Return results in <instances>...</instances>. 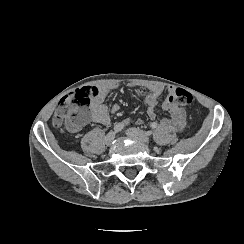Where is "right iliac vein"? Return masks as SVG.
I'll list each match as a JSON object with an SVG mask.
<instances>
[{"label": "right iliac vein", "instance_id": "obj_1", "mask_svg": "<svg viewBox=\"0 0 244 244\" xmlns=\"http://www.w3.org/2000/svg\"><path fill=\"white\" fill-rule=\"evenodd\" d=\"M115 138V133L110 132L104 139V142L107 146H110Z\"/></svg>", "mask_w": 244, "mask_h": 244}]
</instances>
